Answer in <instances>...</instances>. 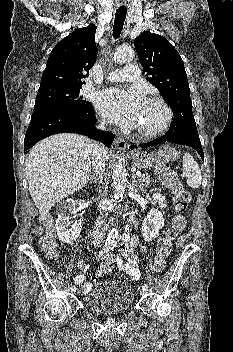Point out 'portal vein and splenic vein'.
I'll return each instance as SVG.
<instances>
[{
	"label": "portal vein and splenic vein",
	"instance_id": "1",
	"mask_svg": "<svg viewBox=\"0 0 233 352\" xmlns=\"http://www.w3.org/2000/svg\"><path fill=\"white\" fill-rule=\"evenodd\" d=\"M142 174L140 172H136V176L140 177Z\"/></svg>",
	"mask_w": 233,
	"mask_h": 352
}]
</instances>
